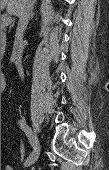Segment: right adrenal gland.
<instances>
[{
	"label": "right adrenal gland",
	"mask_w": 109,
	"mask_h": 170,
	"mask_svg": "<svg viewBox=\"0 0 109 170\" xmlns=\"http://www.w3.org/2000/svg\"><path fill=\"white\" fill-rule=\"evenodd\" d=\"M33 10H34V4H33L32 8H31L30 19H32V18L34 17V12H33Z\"/></svg>",
	"instance_id": "obj_1"
}]
</instances>
